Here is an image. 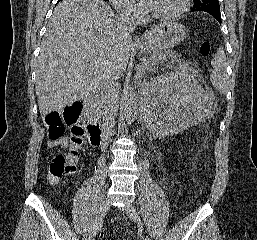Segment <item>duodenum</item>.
<instances>
[{"mask_svg":"<svg viewBox=\"0 0 257 240\" xmlns=\"http://www.w3.org/2000/svg\"><path fill=\"white\" fill-rule=\"evenodd\" d=\"M97 96L90 92L83 99V113L85 128L89 136L90 143L94 147H100L103 142L110 136V127L100 125L95 119V106Z\"/></svg>","mask_w":257,"mask_h":240,"instance_id":"1","label":"duodenum"}]
</instances>
